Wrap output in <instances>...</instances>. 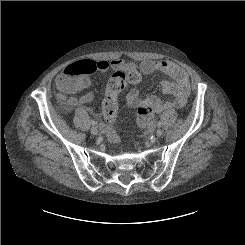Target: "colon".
Masks as SVG:
<instances>
[{"label": "colon", "instance_id": "obj_1", "mask_svg": "<svg viewBox=\"0 0 245 245\" xmlns=\"http://www.w3.org/2000/svg\"><path fill=\"white\" fill-rule=\"evenodd\" d=\"M97 70L96 63L90 60H78L66 66L65 77L60 79L58 86L66 93H71L86 88V78ZM141 81V76L136 70H121L112 77L108 85L102 111L104 118L109 124L108 135L112 141H117L118 136L114 130L115 117L118 111L116 103L117 94L127 85H137ZM154 120V109L149 104H141L137 109V122L140 127L150 126Z\"/></svg>", "mask_w": 245, "mask_h": 245}]
</instances>
